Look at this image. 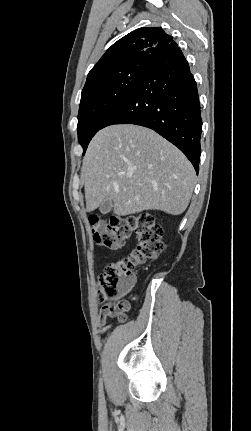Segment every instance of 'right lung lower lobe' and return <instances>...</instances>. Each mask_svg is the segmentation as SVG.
I'll use <instances>...</instances> for the list:
<instances>
[{
    "mask_svg": "<svg viewBox=\"0 0 251 431\" xmlns=\"http://www.w3.org/2000/svg\"><path fill=\"white\" fill-rule=\"evenodd\" d=\"M150 128L178 147L199 171L202 119L197 84L181 50L154 53L131 94L103 125Z\"/></svg>",
    "mask_w": 251,
    "mask_h": 431,
    "instance_id": "right-lung-lower-lobe-1",
    "label": "right lung lower lobe"
}]
</instances>
